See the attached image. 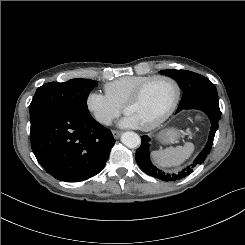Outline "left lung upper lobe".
<instances>
[{"mask_svg":"<svg viewBox=\"0 0 245 245\" xmlns=\"http://www.w3.org/2000/svg\"><path fill=\"white\" fill-rule=\"evenodd\" d=\"M160 73L175 79L184 92L177 112L198 102H218L216 87L206 77L186 70H162Z\"/></svg>","mask_w":245,"mask_h":245,"instance_id":"left-lung-upper-lobe-1","label":"left lung upper lobe"}]
</instances>
